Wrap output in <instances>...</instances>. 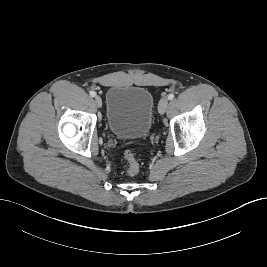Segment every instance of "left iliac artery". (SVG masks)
Returning <instances> with one entry per match:
<instances>
[{
    "label": "left iliac artery",
    "instance_id": "left-iliac-artery-1",
    "mask_svg": "<svg viewBox=\"0 0 267 267\" xmlns=\"http://www.w3.org/2000/svg\"><path fill=\"white\" fill-rule=\"evenodd\" d=\"M173 98H174V94H169V95H168V99H169V100H172Z\"/></svg>",
    "mask_w": 267,
    "mask_h": 267
}]
</instances>
